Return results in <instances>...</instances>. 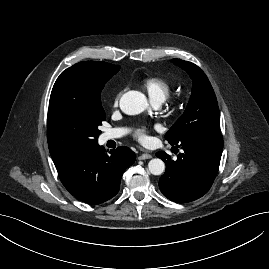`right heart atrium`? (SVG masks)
Here are the masks:
<instances>
[{
	"instance_id": "1",
	"label": "right heart atrium",
	"mask_w": 269,
	"mask_h": 269,
	"mask_svg": "<svg viewBox=\"0 0 269 269\" xmlns=\"http://www.w3.org/2000/svg\"><path fill=\"white\" fill-rule=\"evenodd\" d=\"M121 95H122V91H119V92H117L115 94V96L112 99V105L113 106H117L118 105V102H119V99H120Z\"/></svg>"
}]
</instances>
